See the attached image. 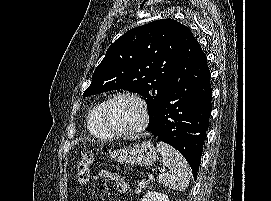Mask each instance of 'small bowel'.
<instances>
[{
  "label": "small bowel",
  "instance_id": "c3829d8e",
  "mask_svg": "<svg viewBox=\"0 0 271 201\" xmlns=\"http://www.w3.org/2000/svg\"><path fill=\"white\" fill-rule=\"evenodd\" d=\"M99 177L111 178L115 182L117 190L121 193L126 192L128 189V183L126 179H124L122 176L118 174L104 171V172L99 173V175L96 176L95 179L97 180Z\"/></svg>",
  "mask_w": 271,
  "mask_h": 201
}]
</instances>
